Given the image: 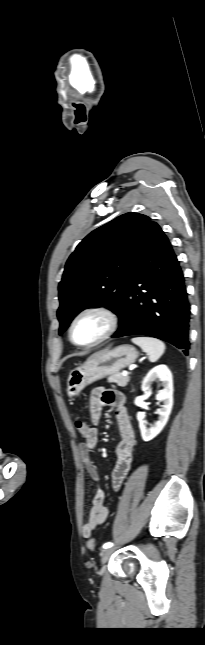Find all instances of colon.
Instances as JSON below:
<instances>
[{
	"mask_svg": "<svg viewBox=\"0 0 205 645\" xmlns=\"http://www.w3.org/2000/svg\"><path fill=\"white\" fill-rule=\"evenodd\" d=\"M74 426L76 430L80 433V435L84 438H86L89 435V425L88 422L85 418L81 416H76L74 419ZM87 547L91 551L96 550V542L94 538H89L87 541Z\"/></svg>",
	"mask_w": 205,
	"mask_h": 645,
	"instance_id": "colon-1",
	"label": "colon"
}]
</instances>
